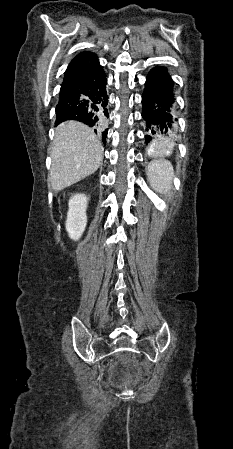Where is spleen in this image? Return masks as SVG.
<instances>
[{
	"label": "spleen",
	"mask_w": 233,
	"mask_h": 449,
	"mask_svg": "<svg viewBox=\"0 0 233 449\" xmlns=\"http://www.w3.org/2000/svg\"><path fill=\"white\" fill-rule=\"evenodd\" d=\"M174 143H154L152 151L156 155H165L173 148ZM148 178L151 187L161 194H167L172 187V168L164 161L154 162L148 166Z\"/></svg>",
	"instance_id": "3e777b00"
}]
</instances>
